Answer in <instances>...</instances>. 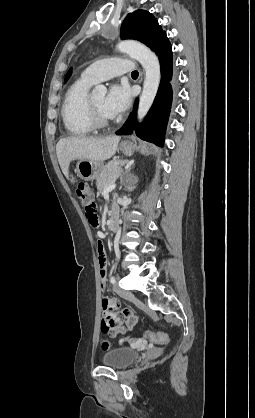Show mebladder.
Listing matches in <instances>:
<instances>
[{"mask_svg": "<svg viewBox=\"0 0 255 418\" xmlns=\"http://www.w3.org/2000/svg\"><path fill=\"white\" fill-rule=\"evenodd\" d=\"M139 357L138 351L128 347L108 350L102 357V363L115 369H123L134 363Z\"/></svg>", "mask_w": 255, "mask_h": 418, "instance_id": "1", "label": "bladder"}]
</instances>
